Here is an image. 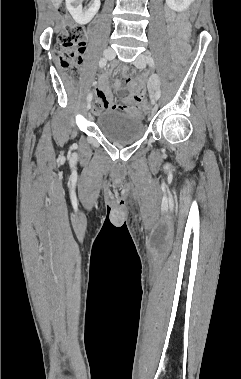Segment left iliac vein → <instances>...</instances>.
Segmentation results:
<instances>
[{
    "label": "left iliac vein",
    "instance_id": "left-iliac-vein-1",
    "mask_svg": "<svg viewBox=\"0 0 241 379\" xmlns=\"http://www.w3.org/2000/svg\"><path fill=\"white\" fill-rule=\"evenodd\" d=\"M133 64L139 69L145 68V66H146L145 56L143 54L138 55L137 58L135 59V61L133 62ZM156 101H157V97L155 95H152L151 96V104L155 105Z\"/></svg>",
    "mask_w": 241,
    "mask_h": 379
}]
</instances>
